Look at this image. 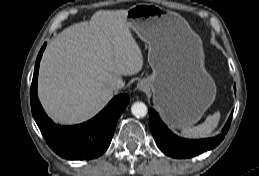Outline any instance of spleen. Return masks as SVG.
<instances>
[{"instance_id": "1", "label": "spleen", "mask_w": 259, "mask_h": 176, "mask_svg": "<svg viewBox=\"0 0 259 176\" xmlns=\"http://www.w3.org/2000/svg\"><path fill=\"white\" fill-rule=\"evenodd\" d=\"M220 112L217 111L213 115H209L206 120L195 127L183 128L181 133L186 138H205L209 137L211 133L218 126L220 121Z\"/></svg>"}]
</instances>
